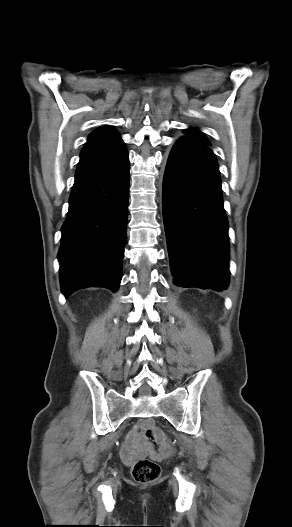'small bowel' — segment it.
Returning a JSON list of instances; mask_svg holds the SVG:
<instances>
[{
	"label": "small bowel",
	"instance_id": "c3829d8e",
	"mask_svg": "<svg viewBox=\"0 0 292 527\" xmlns=\"http://www.w3.org/2000/svg\"><path fill=\"white\" fill-rule=\"evenodd\" d=\"M158 435L163 433L161 428L156 430ZM171 453V447L163 436H160V445L157 450L149 445V443L143 437V431L141 426L138 425L132 429L126 437L125 442L121 447V456L126 461L125 466L130 468L132 461L136 458L143 457L146 454H150L153 458L154 463L159 464L162 458L167 457Z\"/></svg>",
	"mask_w": 292,
	"mask_h": 527
}]
</instances>
